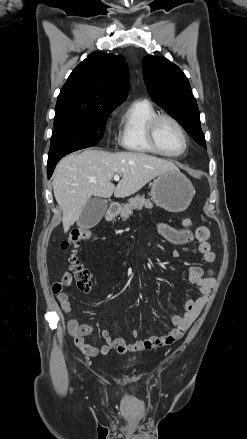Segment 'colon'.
<instances>
[{
    "label": "colon",
    "mask_w": 247,
    "mask_h": 439,
    "mask_svg": "<svg viewBox=\"0 0 247 439\" xmlns=\"http://www.w3.org/2000/svg\"><path fill=\"white\" fill-rule=\"evenodd\" d=\"M182 225L184 227H190L192 221L189 218H185L182 220ZM90 236L89 230L74 228L68 238L61 244V248L67 254L69 271L75 279L77 288L82 292H88L91 288V272L80 262L77 256V248L81 243L88 241Z\"/></svg>",
    "instance_id": "colon-1"
}]
</instances>
